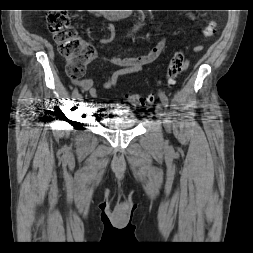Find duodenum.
<instances>
[{"instance_id": "410a0bca", "label": "duodenum", "mask_w": 253, "mask_h": 253, "mask_svg": "<svg viewBox=\"0 0 253 253\" xmlns=\"http://www.w3.org/2000/svg\"><path fill=\"white\" fill-rule=\"evenodd\" d=\"M101 15L110 20H120L126 18L129 15V11L125 9H105L101 12Z\"/></svg>"}]
</instances>
